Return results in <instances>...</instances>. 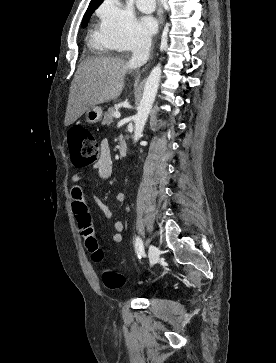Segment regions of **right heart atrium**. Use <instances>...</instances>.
Here are the masks:
<instances>
[{"instance_id": "1", "label": "right heart atrium", "mask_w": 276, "mask_h": 363, "mask_svg": "<svg viewBox=\"0 0 276 363\" xmlns=\"http://www.w3.org/2000/svg\"><path fill=\"white\" fill-rule=\"evenodd\" d=\"M100 19L102 33L119 50L142 47L149 41L132 10L119 0H106L100 9Z\"/></svg>"}]
</instances>
